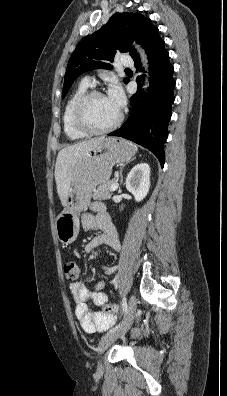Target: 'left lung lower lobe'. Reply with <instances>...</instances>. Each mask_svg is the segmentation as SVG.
I'll list each match as a JSON object with an SVG mask.
<instances>
[{
  "label": "left lung lower lobe",
  "mask_w": 227,
  "mask_h": 396,
  "mask_svg": "<svg viewBox=\"0 0 227 396\" xmlns=\"http://www.w3.org/2000/svg\"><path fill=\"white\" fill-rule=\"evenodd\" d=\"M146 53L149 59L150 87L143 97L141 79L137 77V93L130 98L131 113L122 127L109 136H120L149 149L164 165L163 145L168 137L167 127L171 118V105L174 102L173 66L164 40L153 41ZM135 67L141 68L139 56L134 59ZM143 71V69H141ZM128 82V81H127Z\"/></svg>",
  "instance_id": "obj_1"
}]
</instances>
